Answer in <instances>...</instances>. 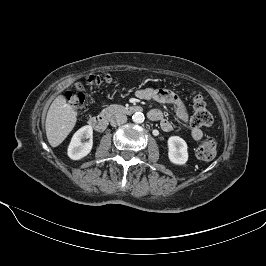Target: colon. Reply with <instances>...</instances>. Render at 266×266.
<instances>
[{
	"instance_id": "colon-1",
	"label": "colon",
	"mask_w": 266,
	"mask_h": 266,
	"mask_svg": "<svg viewBox=\"0 0 266 266\" xmlns=\"http://www.w3.org/2000/svg\"><path fill=\"white\" fill-rule=\"evenodd\" d=\"M114 78L111 75L96 76L91 75L87 78V83L91 85H101L111 83ZM67 100L71 106L79 112L84 105V84L78 83L74 91L67 93ZM213 122V117L208 111L206 104L199 94L193 95V116L192 123L195 127L209 126ZM217 153V142L214 138L203 140L197 147V156L202 160H211Z\"/></svg>"
}]
</instances>
